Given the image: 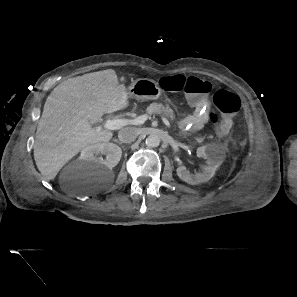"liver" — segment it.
<instances>
[{
  "mask_svg": "<svg viewBox=\"0 0 297 297\" xmlns=\"http://www.w3.org/2000/svg\"><path fill=\"white\" fill-rule=\"evenodd\" d=\"M129 106L128 93L113 69L70 78L47 97L33 145L42 176L53 180L61 168L85 147L111 140L113 133L92 125L103 114Z\"/></svg>",
  "mask_w": 297,
  "mask_h": 297,
  "instance_id": "6515ba94",
  "label": "liver"
}]
</instances>
